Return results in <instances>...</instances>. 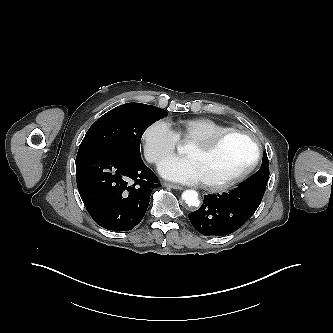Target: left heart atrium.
I'll list each match as a JSON object with an SVG mask.
<instances>
[{"mask_svg": "<svg viewBox=\"0 0 333 333\" xmlns=\"http://www.w3.org/2000/svg\"><path fill=\"white\" fill-rule=\"evenodd\" d=\"M159 171L165 178L181 183L195 184L202 181L195 162L188 156L165 159Z\"/></svg>", "mask_w": 333, "mask_h": 333, "instance_id": "39dd6f15", "label": "left heart atrium"}]
</instances>
